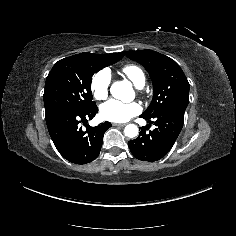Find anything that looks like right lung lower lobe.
Wrapping results in <instances>:
<instances>
[{"mask_svg": "<svg viewBox=\"0 0 236 236\" xmlns=\"http://www.w3.org/2000/svg\"><path fill=\"white\" fill-rule=\"evenodd\" d=\"M98 112L97 106L85 111L72 112L57 110L46 114V124L50 137L58 152L68 161L75 164H86L93 161L100 153L104 133L112 125L105 122L96 127L87 126L82 130L80 123H87Z\"/></svg>", "mask_w": 236, "mask_h": 236, "instance_id": "1", "label": "right lung lower lobe"}]
</instances>
